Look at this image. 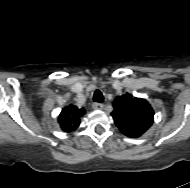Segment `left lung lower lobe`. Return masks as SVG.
<instances>
[{"label":"left lung lower lobe","mask_w":190,"mask_h":188,"mask_svg":"<svg viewBox=\"0 0 190 188\" xmlns=\"http://www.w3.org/2000/svg\"><path fill=\"white\" fill-rule=\"evenodd\" d=\"M126 136L128 137H139L138 135L132 134V133H128Z\"/></svg>","instance_id":"0a47b994"}]
</instances>
